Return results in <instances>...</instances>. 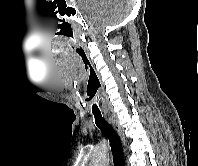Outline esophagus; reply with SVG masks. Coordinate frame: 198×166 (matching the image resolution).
<instances>
[{
    "mask_svg": "<svg viewBox=\"0 0 198 166\" xmlns=\"http://www.w3.org/2000/svg\"><path fill=\"white\" fill-rule=\"evenodd\" d=\"M109 122L111 123V125L113 126V128L118 133V135H119L120 139L122 140L123 144H125L124 133H123L120 125L118 124L117 120L115 118H113V117H109Z\"/></svg>",
    "mask_w": 198,
    "mask_h": 166,
    "instance_id": "esophagus-1",
    "label": "esophagus"
}]
</instances>
